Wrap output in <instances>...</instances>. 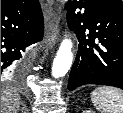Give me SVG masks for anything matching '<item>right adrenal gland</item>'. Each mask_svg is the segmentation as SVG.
<instances>
[{
  "label": "right adrenal gland",
  "mask_w": 123,
  "mask_h": 113,
  "mask_svg": "<svg viewBox=\"0 0 123 113\" xmlns=\"http://www.w3.org/2000/svg\"><path fill=\"white\" fill-rule=\"evenodd\" d=\"M28 110L26 109L25 111H24V113H26Z\"/></svg>",
  "instance_id": "2a0ac1e0"
}]
</instances>
